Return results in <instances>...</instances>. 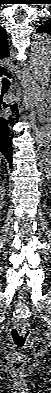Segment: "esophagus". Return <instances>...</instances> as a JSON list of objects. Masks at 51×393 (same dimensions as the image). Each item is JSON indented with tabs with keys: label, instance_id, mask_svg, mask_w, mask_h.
Masks as SVG:
<instances>
[{
	"label": "esophagus",
	"instance_id": "esophagus-1",
	"mask_svg": "<svg viewBox=\"0 0 51 393\" xmlns=\"http://www.w3.org/2000/svg\"><path fill=\"white\" fill-rule=\"evenodd\" d=\"M22 82L24 87V102L26 106L32 107L34 103L33 96L39 86L34 81L28 68H24ZM37 117L41 123L51 121L50 106L46 102H42L37 105Z\"/></svg>",
	"mask_w": 51,
	"mask_h": 393
}]
</instances>
